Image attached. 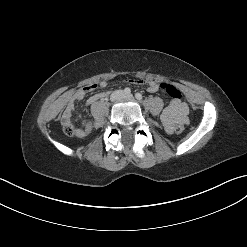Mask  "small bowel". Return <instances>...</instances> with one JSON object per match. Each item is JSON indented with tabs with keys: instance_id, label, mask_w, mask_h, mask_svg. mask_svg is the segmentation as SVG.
Returning <instances> with one entry per match:
<instances>
[{
	"instance_id": "c3829d8e",
	"label": "small bowel",
	"mask_w": 247,
	"mask_h": 247,
	"mask_svg": "<svg viewBox=\"0 0 247 247\" xmlns=\"http://www.w3.org/2000/svg\"><path fill=\"white\" fill-rule=\"evenodd\" d=\"M136 82L146 85L147 90L151 93L161 91L159 84L155 81L139 80ZM98 86L101 88H105L107 86V82L101 81L99 84H95V83L89 84L77 90L76 92H74V94L69 99L68 104L62 115L63 125L70 122V118L73 113L75 103L81 101L87 93L93 91ZM105 96H106L105 93L94 94L87 100L85 106L87 107ZM188 113H189V108L186 103L182 102L181 100L170 101L167 107L164 109V111L161 114V120H162V123L166 131L173 132L174 126L176 124H181V125L187 124L188 123ZM89 131H90V127L86 128L85 130H78L76 132V136L80 138L84 137L89 133Z\"/></svg>"
}]
</instances>
